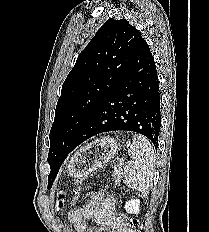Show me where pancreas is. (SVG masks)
I'll return each instance as SVG.
<instances>
[{"label":"pancreas","mask_w":209,"mask_h":232,"mask_svg":"<svg viewBox=\"0 0 209 232\" xmlns=\"http://www.w3.org/2000/svg\"><path fill=\"white\" fill-rule=\"evenodd\" d=\"M121 174H122V166L118 165L114 169V178L116 185L120 184Z\"/></svg>","instance_id":"obj_1"}]
</instances>
